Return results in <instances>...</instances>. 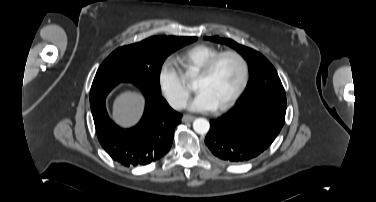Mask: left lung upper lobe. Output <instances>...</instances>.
<instances>
[{
	"mask_svg": "<svg viewBox=\"0 0 376 202\" xmlns=\"http://www.w3.org/2000/svg\"><path fill=\"white\" fill-rule=\"evenodd\" d=\"M206 39L227 44L238 51L248 62L249 83L246 93L239 105L267 99L277 104L287 106L286 95L279 76L273 65L259 52L242 46L231 39L218 36Z\"/></svg>",
	"mask_w": 376,
	"mask_h": 202,
	"instance_id": "obj_1",
	"label": "left lung upper lobe"
}]
</instances>
